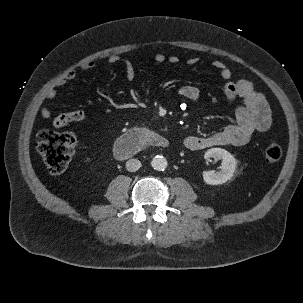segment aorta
<instances>
[{
	"label": "aorta",
	"instance_id": "1",
	"mask_svg": "<svg viewBox=\"0 0 303 303\" xmlns=\"http://www.w3.org/2000/svg\"><path fill=\"white\" fill-rule=\"evenodd\" d=\"M151 166L157 171L165 170L167 167V160L163 156H156L152 159Z\"/></svg>",
	"mask_w": 303,
	"mask_h": 303
}]
</instances>
